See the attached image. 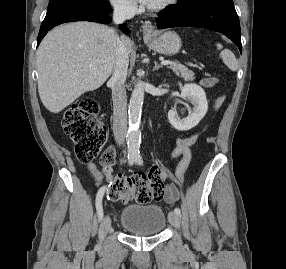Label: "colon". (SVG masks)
I'll list each match as a JSON object with an SVG mask.
<instances>
[{
    "label": "colon",
    "mask_w": 286,
    "mask_h": 269,
    "mask_svg": "<svg viewBox=\"0 0 286 269\" xmlns=\"http://www.w3.org/2000/svg\"><path fill=\"white\" fill-rule=\"evenodd\" d=\"M219 82V78H201V83H211V88H216V83ZM222 100V96L217 99V102L211 100L209 110H214V105L216 103L219 105ZM97 112L96 101L91 97H83L74 102L62 118L63 129L74 143L76 157L83 163L95 159L107 141L105 127L98 119ZM100 160L102 165H113L114 150H105ZM153 166L154 168L147 174L116 175L107 190V199L117 202L135 198L138 202L145 203L151 199L162 198L165 193L162 169H159V163H154Z\"/></svg>",
    "instance_id": "5ec220e1"
}]
</instances>
